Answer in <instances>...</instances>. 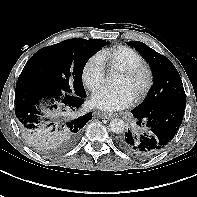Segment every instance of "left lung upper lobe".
I'll return each instance as SVG.
<instances>
[{
    "mask_svg": "<svg viewBox=\"0 0 197 197\" xmlns=\"http://www.w3.org/2000/svg\"><path fill=\"white\" fill-rule=\"evenodd\" d=\"M127 44L134 47L145 58L153 73V86L144 101L135 107L136 109L149 111L163 101L186 98L181 77L167 57L143 42L131 41Z\"/></svg>",
    "mask_w": 197,
    "mask_h": 197,
    "instance_id": "1",
    "label": "left lung upper lobe"
}]
</instances>
